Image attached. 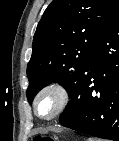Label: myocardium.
I'll use <instances>...</instances> for the list:
<instances>
[{"mask_svg": "<svg viewBox=\"0 0 119 141\" xmlns=\"http://www.w3.org/2000/svg\"><path fill=\"white\" fill-rule=\"evenodd\" d=\"M45 95H53L56 98L54 110L47 116H41L38 112V104ZM71 100L68 88L60 82H51L43 86L33 100L34 114L42 121H51L61 115L68 107Z\"/></svg>", "mask_w": 119, "mask_h": 141, "instance_id": "1", "label": "myocardium"}]
</instances>
